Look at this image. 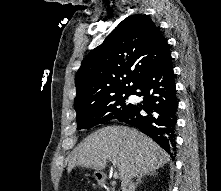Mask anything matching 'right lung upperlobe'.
I'll list each match as a JSON object with an SVG mask.
<instances>
[{"mask_svg":"<svg viewBox=\"0 0 221 191\" xmlns=\"http://www.w3.org/2000/svg\"><path fill=\"white\" fill-rule=\"evenodd\" d=\"M168 52L167 40L151 18L127 17L83 59L75 77L76 112L133 90Z\"/></svg>","mask_w":221,"mask_h":191,"instance_id":"obj_1","label":"right lung upper lobe"}]
</instances>
